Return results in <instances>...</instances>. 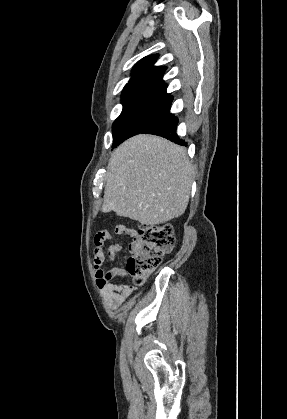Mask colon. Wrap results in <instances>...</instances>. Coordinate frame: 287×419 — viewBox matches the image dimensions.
I'll return each mask as SVG.
<instances>
[{
  "label": "colon",
  "mask_w": 287,
  "mask_h": 419,
  "mask_svg": "<svg viewBox=\"0 0 287 419\" xmlns=\"http://www.w3.org/2000/svg\"><path fill=\"white\" fill-rule=\"evenodd\" d=\"M106 232L96 236V242L107 241ZM175 244L173 230L169 225H141L130 245L131 256L127 261V271L133 276L135 284L141 285L147 276L159 267L163 257Z\"/></svg>",
  "instance_id": "1"
}]
</instances>
